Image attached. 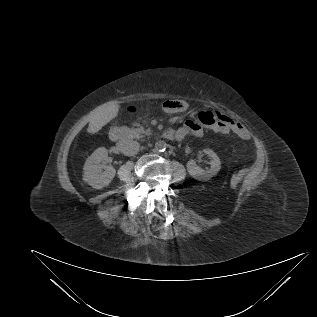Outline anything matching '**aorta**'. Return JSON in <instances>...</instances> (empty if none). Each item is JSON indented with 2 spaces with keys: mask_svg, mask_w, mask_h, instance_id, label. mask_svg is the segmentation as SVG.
Returning a JSON list of instances; mask_svg holds the SVG:
<instances>
[{
  "mask_svg": "<svg viewBox=\"0 0 317 317\" xmlns=\"http://www.w3.org/2000/svg\"><path fill=\"white\" fill-rule=\"evenodd\" d=\"M165 147H166V143L164 142V141H157L156 143H155V148H156V150H158V151H164L165 150Z\"/></svg>",
  "mask_w": 317,
  "mask_h": 317,
  "instance_id": "1",
  "label": "aorta"
}]
</instances>
